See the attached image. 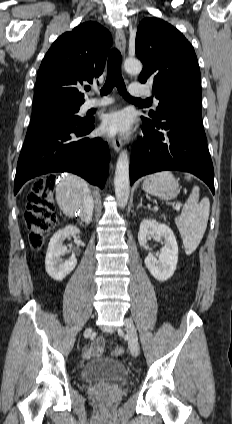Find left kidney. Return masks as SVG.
<instances>
[{"instance_id": "1", "label": "left kidney", "mask_w": 232, "mask_h": 424, "mask_svg": "<svg viewBox=\"0 0 232 424\" xmlns=\"http://www.w3.org/2000/svg\"><path fill=\"white\" fill-rule=\"evenodd\" d=\"M148 236L164 239L159 258L149 253L144 262L155 279L166 281L174 274L178 262V244L175 235L167 225L154 219H145L141 222L138 233V241L142 247H147Z\"/></svg>"}]
</instances>
